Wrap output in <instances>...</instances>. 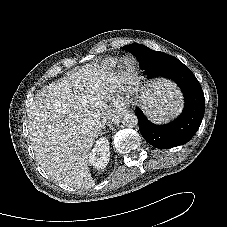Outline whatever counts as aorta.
<instances>
[{
	"instance_id": "1",
	"label": "aorta",
	"mask_w": 227,
	"mask_h": 227,
	"mask_svg": "<svg viewBox=\"0 0 227 227\" xmlns=\"http://www.w3.org/2000/svg\"><path fill=\"white\" fill-rule=\"evenodd\" d=\"M112 118L117 121H121L124 126L132 128L137 126L138 124V118L134 113L127 112L125 114H119L117 112H114L112 114Z\"/></svg>"
}]
</instances>
